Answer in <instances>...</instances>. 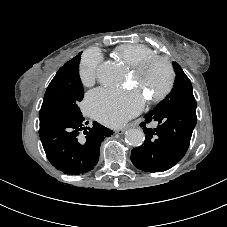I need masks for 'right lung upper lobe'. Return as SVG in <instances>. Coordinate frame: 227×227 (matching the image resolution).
I'll return each instance as SVG.
<instances>
[{
	"instance_id": "right-lung-upper-lobe-1",
	"label": "right lung upper lobe",
	"mask_w": 227,
	"mask_h": 227,
	"mask_svg": "<svg viewBox=\"0 0 227 227\" xmlns=\"http://www.w3.org/2000/svg\"><path fill=\"white\" fill-rule=\"evenodd\" d=\"M76 58H77V57H74V58H73V59H71L69 62L76 60ZM67 63H68V62H67Z\"/></svg>"
}]
</instances>
